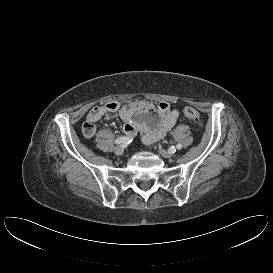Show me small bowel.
Segmentation results:
<instances>
[{
  "label": "small bowel",
  "mask_w": 273,
  "mask_h": 273,
  "mask_svg": "<svg viewBox=\"0 0 273 273\" xmlns=\"http://www.w3.org/2000/svg\"><path fill=\"white\" fill-rule=\"evenodd\" d=\"M112 113L119 114L124 122V132L129 138L140 133L142 141L147 145L162 139L176 124L180 115L167 102L153 106L145 101L122 103L111 100L89 111L82 127L83 136L87 139L93 137L97 122Z\"/></svg>",
  "instance_id": "1"
}]
</instances>
